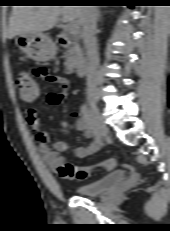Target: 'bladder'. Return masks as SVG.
I'll return each instance as SVG.
<instances>
[{
  "mask_svg": "<svg viewBox=\"0 0 170 231\" xmlns=\"http://www.w3.org/2000/svg\"><path fill=\"white\" fill-rule=\"evenodd\" d=\"M126 177L127 174L123 170L113 171L98 180L78 186L76 193L86 197L98 196L123 184Z\"/></svg>",
  "mask_w": 170,
  "mask_h": 231,
  "instance_id": "bladder-1",
  "label": "bladder"
}]
</instances>
